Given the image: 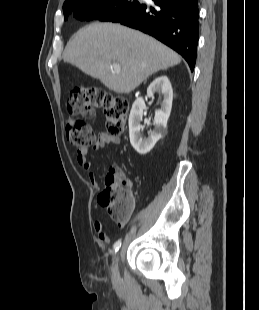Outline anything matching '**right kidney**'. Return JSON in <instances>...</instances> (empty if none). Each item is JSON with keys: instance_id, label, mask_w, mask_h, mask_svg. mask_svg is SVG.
Returning <instances> with one entry per match:
<instances>
[{"instance_id": "right-kidney-1", "label": "right kidney", "mask_w": 259, "mask_h": 310, "mask_svg": "<svg viewBox=\"0 0 259 310\" xmlns=\"http://www.w3.org/2000/svg\"><path fill=\"white\" fill-rule=\"evenodd\" d=\"M159 92L163 96L161 109L155 112L154 129L147 138H143L141 125L145 101L142 97L135 100L129 116V137L132 147L141 155H145L152 150L156 142L167 132V121L170 116L173 100V90L167 76L162 75L156 78L147 89V98L154 96Z\"/></svg>"}]
</instances>
